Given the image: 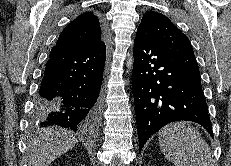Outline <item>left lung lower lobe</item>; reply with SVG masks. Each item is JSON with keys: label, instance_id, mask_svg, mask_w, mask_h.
<instances>
[{"label": "left lung lower lobe", "instance_id": "1", "mask_svg": "<svg viewBox=\"0 0 231 166\" xmlns=\"http://www.w3.org/2000/svg\"><path fill=\"white\" fill-rule=\"evenodd\" d=\"M132 75L139 152L160 128L192 121L212 136V124L194 53L161 46L137 31Z\"/></svg>", "mask_w": 231, "mask_h": 166}]
</instances>
